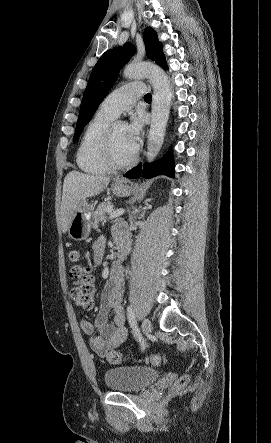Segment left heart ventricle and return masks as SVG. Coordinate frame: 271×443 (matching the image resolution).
<instances>
[{
  "label": "left heart ventricle",
  "mask_w": 271,
  "mask_h": 443,
  "mask_svg": "<svg viewBox=\"0 0 271 443\" xmlns=\"http://www.w3.org/2000/svg\"><path fill=\"white\" fill-rule=\"evenodd\" d=\"M113 144L115 155L120 161H126L135 154L127 142L126 127L122 123H118L115 127Z\"/></svg>",
  "instance_id": "obj_1"
}]
</instances>
